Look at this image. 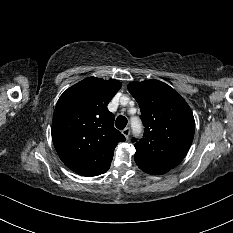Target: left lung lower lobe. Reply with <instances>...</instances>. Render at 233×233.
<instances>
[{
  "mask_svg": "<svg viewBox=\"0 0 233 233\" xmlns=\"http://www.w3.org/2000/svg\"><path fill=\"white\" fill-rule=\"evenodd\" d=\"M134 159L138 167L148 174L158 175V174L166 173L170 170V168L168 167L146 160L136 154L134 156Z\"/></svg>",
  "mask_w": 233,
  "mask_h": 233,
  "instance_id": "obj_1",
  "label": "left lung lower lobe"
}]
</instances>
